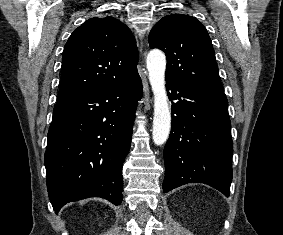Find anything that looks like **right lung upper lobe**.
<instances>
[{
    "label": "right lung upper lobe",
    "instance_id": "obj_1",
    "mask_svg": "<svg viewBox=\"0 0 283 235\" xmlns=\"http://www.w3.org/2000/svg\"><path fill=\"white\" fill-rule=\"evenodd\" d=\"M137 63L136 40L124 23L112 16L90 18L64 47L57 101L128 79Z\"/></svg>",
    "mask_w": 283,
    "mask_h": 235
}]
</instances>
